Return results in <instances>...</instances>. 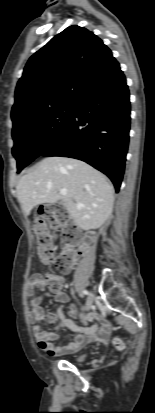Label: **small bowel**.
Returning a JSON list of instances; mask_svg holds the SVG:
<instances>
[{"label":"small bowel","instance_id":"c3829d8e","mask_svg":"<svg viewBox=\"0 0 155 413\" xmlns=\"http://www.w3.org/2000/svg\"><path fill=\"white\" fill-rule=\"evenodd\" d=\"M71 268L72 265L66 272H69ZM36 288L44 293L41 296L34 297ZM26 295L29 299V318L33 327L34 338L39 348L48 354L55 356L67 355L77 352L90 342L107 340L111 327L106 319L101 318L95 313H90L86 315L83 324L78 326L73 321V317L76 316V309L74 306H70L67 313L62 308H59L56 312V317L63 326L76 333L75 339L64 345L53 344L52 341L57 338L58 334L56 331L47 332L41 330V325L46 316L41 304L46 298L51 296L64 303L69 300L68 296L62 290L55 293L46 292V286L40 274H35L30 278L27 284Z\"/></svg>","mask_w":155,"mask_h":413}]
</instances>
